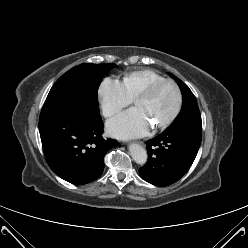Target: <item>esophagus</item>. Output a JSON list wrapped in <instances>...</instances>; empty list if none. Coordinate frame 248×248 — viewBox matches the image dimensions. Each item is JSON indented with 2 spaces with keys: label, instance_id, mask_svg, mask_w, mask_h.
Returning <instances> with one entry per match:
<instances>
[{
  "label": "esophagus",
  "instance_id": "obj_1",
  "mask_svg": "<svg viewBox=\"0 0 248 248\" xmlns=\"http://www.w3.org/2000/svg\"><path fill=\"white\" fill-rule=\"evenodd\" d=\"M139 144H143V142L142 141H137Z\"/></svg>",
  "mask_w": 248,
  "mask_h": 248
}]
</instances>
